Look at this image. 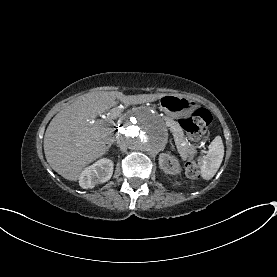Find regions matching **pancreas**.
I'll list each match as a JSON object with an SVG mask.
<instances>
[{"instance_id": "cf45deb5", "label": "pancreas", "mask_w": 277, "mask_h": 277, "mask_svg": "<svg viewBox=\"0 0 277 277\" xmlns=\"http://www.w3.org/2000/svg\"><path fill=\"white\" fill-rule=\"evenodd\" d=\"M171 132L173 137L175 138L174 146L177 149H182L181 154L183 158H190L192 154V150L190 146H187V138L185 132L183 131V127L180 124H174L171 127Z\"/></svg>"}]
</instances>
